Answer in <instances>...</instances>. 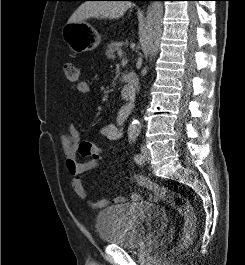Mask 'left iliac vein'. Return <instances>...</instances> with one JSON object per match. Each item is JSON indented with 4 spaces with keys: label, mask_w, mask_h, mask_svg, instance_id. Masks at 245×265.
I'll return each mask as SVG.
<instances>
[{
    "label": "left iliac vein",
    "mask_w": 245,
    "mask_h": 265,
    "mask_svg": "<svg viewBox=\"0 0 245 265\" xmlns=\"http://www.w3.org/2000/svg\"><path fill=\"white\" fill-rule=\"evenodd\" d=\"M141 155H142V162H145V161L149 160V158H150L149 149L145 145H143L141 147Z\"/></svg>",
    "instance_id": "left-iliac-vein-1"
}]
</instances>
